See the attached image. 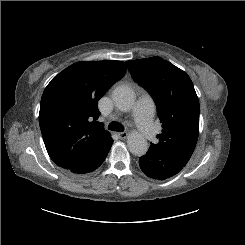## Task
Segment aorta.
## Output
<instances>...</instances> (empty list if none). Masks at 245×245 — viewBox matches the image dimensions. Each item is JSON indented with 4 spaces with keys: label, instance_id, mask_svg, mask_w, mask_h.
<instances>
[{
    "label": "aorta",
    "instance_id": "aorta-1",
    "mask_svg": "<svg viewBox=\"0 0 245 245\" xmlns=\"http://www.w3.org/2000/svg\"><path fill=\"white\" fill-rule=\"evenodd\" d=\"M113 100L119 110L128 111L135 102V93L128 86H119L113 91ZM127 144L130 152L136 156L145 155L149 148L147 140L138 132L128 135Z\"/></svg>",
    "mask_w": 245,
    "mask_h": 245
}]
</instances>
